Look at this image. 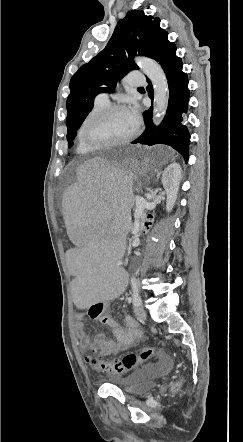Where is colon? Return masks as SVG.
Returning <instances> with one entry per match:
<instances>
[{
	"instance_id": "5ec220e1",
	"label": "colon",
	"mask_w": 243,
	"mask_h": 442,
	"mask_svg": "<svg viewBox=\"0 0 243 442\" xmlns=\"http://www.w3.org/2000/svg\"><path fill=\"white\" fill-rule=\"evenodd\" d=\"M154 224L153 216H143L141 224V235L139 241L144 243L147 235L150 231L151 225ZM159 352L155 346H147L141 348L138 352H130L123 357H108L107 360H103L99 357H84V366H92L96 371L112 375L123 374L129 372L152 359ZM180 387V382H176L173 385V389L177 390Z\"/></svg>"
}]
</instances>
